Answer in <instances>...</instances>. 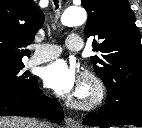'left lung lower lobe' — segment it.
Segmentation results:
<instances>
[{"mask_svg":"<svg viewBox=\"0 0 142 128\" xmlns=\"http://www.w3.org/2000/svg\"><path fill=\"white\" fill-rule=\"evenodd\" d=\"M89 126L135 125L142 127V96L117 103H107L97 113H90L82 122Z\"/></svg>","mask_w":142,"mask_h":128,"instance_id":"left-lung-lower-lobe-1","label":"left lung lower lobe"}]
</instances>
